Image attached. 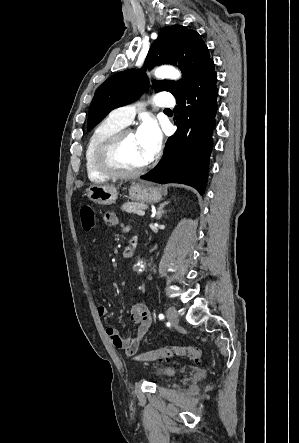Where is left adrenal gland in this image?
Segmentation results:
<instances>
[{"label":"left adrenal gland","instance_id":"1","mask_svg":"<svg viewBox=\"0 0 299 443\" xmlns=\"http://www.w3.org/2000/svg\"><path fill=\"white\" fill-rule=\"evenodd\" d=\"M169 203H170L169 201H166V202H163L162 204L159 205L158 210H157V212H156V218H157V220H159V219L162 217V215L166 212V211L164 210V207H165L166 205H168Z\"/></svg>","mask_w":299,"mask_h":443}]
</instances>
